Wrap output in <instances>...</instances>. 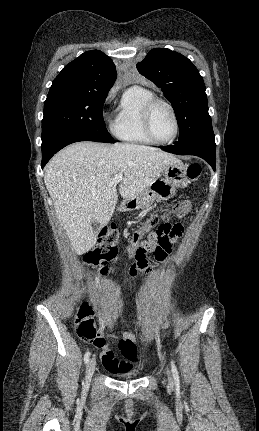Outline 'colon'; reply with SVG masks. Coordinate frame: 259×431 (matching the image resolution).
Listing matches in <instances>:
<instances>
[{
    "label": "colon",
    "instance_id": "5ec220e1",
    "mask_svg": "<svg viewBox=\"0 0 259 431\" xmlns=\"http://www.w3.org/2000/svg\"><path fill=\"white\" fill-rule=\"evenodd\" d=\"M201 166L191 163L186 168V176L190 182L196 181L201 175ZM192 210L189 200L178 202L174 207L177 219H182L183 214ZM184 227L181 223H172L167 215L149 217L143 226L130 232L131 244L127 249L128 258L133 260L130 268L148 267V255L153 254L158 260L164 258L173 250V244L183 235ZM148 234V239H143ZM119 232L115 225L105 227L100 235L97 246L84 257V263L92 269H96L101 275L110 272L107 263L116 257L118 253ZM78 335L85 341L92 342L95 346L105 343V339L97 330L94 320V309L91 304L83 303L78 308L73 318ZM119 349L123 355H133L137 352L136 346L130 341H120ZM128 370V369H126Z\"/></svg>",
    "mask_w": 259,
    "mask_h": 431
}]
</instances>
